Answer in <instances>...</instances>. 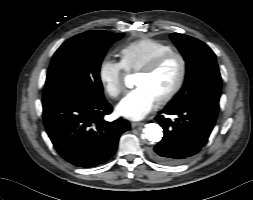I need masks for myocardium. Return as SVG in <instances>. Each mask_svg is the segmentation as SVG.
Wrapping results in <instances>:
<instances>
[{
  "label": "myocardium",
  "instance_id": "f54148a6",
  "mask_svg": "<svg viewBox=\"0 0 253 200\" xmlns=\"http://www.w3.org/2000/svg\"><path fill=\"white\" fill-rule=\"evenodd\" d=\"M171 59H177L180 63V73L178 76V79L175 83V85L172 87V89L166 93L164 96L159 98L157 102L159 104H166L169 101H171L182 89L186 76H187V62L185 57L179 53V52H168L165 53L153 61H151L149 64H147L145 67L139 70V74H144V75H151L157 72L165 63H167Z\"/></svg>",
  "mask_w": 253,
  "mask_h": 200
}]
</instances>
